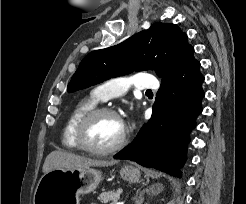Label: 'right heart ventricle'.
<instances>
[{"label":"right heart ventricle","instance_id":"obj_1","mask_svg":"<svg viewBox=\"0 0 246 204\" xmlns=\"http://www.w3.org/2000/svg\"><path fill=\"white\" fill-rule=\"evenodd\" d=\"M97 103V99L92 95L81 99L74 105L67 117L62 131V144L64 147L70 150L80 149L75 139L76 126L81 117L89 110L95 108Z\"/></svg>","mask_w":246,"mask_h":204}]
</instances>
